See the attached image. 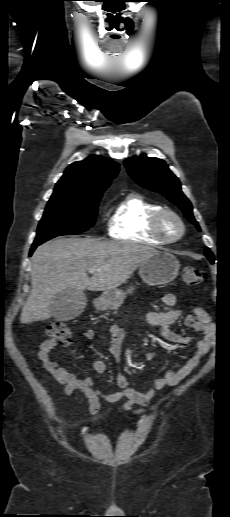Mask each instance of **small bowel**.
<instances>
[{"mask_svg":"<svg viewBox=\"0 0 230 517\" xmlns=\"http://www.w3.org/2000/svg\"><path fill=\"white\" fill-rule=\"evenodd\" d=\"M161 302L167 306L168 309L162 312L150 313L147 319L148 325L157 329L160 336L170 343L178 345L191 343L194 339L193 336L182 335L170 328V325L179 320L182 316V310L175 307V296L173 294H165L162 296ZM189 309L190 313L185 317L184 324L190 328L195 335L201 337L195 343L194 352L181 368L169 370L164 375L155 377L152 380V387L144 391L136 390L120 367L118 368L116 381L121 391L106 393L97 389L91 376H80L71 373L51 358V352L58 346L54 338H47L41 343L37 353V359L42 363L44 369L63 386L65 395L69 396L75 390H79L84 394L91 415L96 416L100 412L101 400L108 403H116L121 399H126L123 410L140 414L143 412V409L133 410L135 405L141 407L148 406L153 400L156 391L180 384L200 365L202 360L210 353L215 345L216 326L211 322L208 313L203 308L194 304H191ZM108 335L110 342L107 350L116 359L119 365L125 329L118 325H112L108 329ZM94 336L95 334L92 329H85L82 334V339L89 341L92 340ZM156 357L157 354L153 351L146 354L148 360H154ZM91 370L96 374H103L107 370V365L104 361L96 360L92 363Z\"/></svg>","mask_w":230,"mask_h":517,"instance_id":"obj_1","label":"small bowel"}]
</instances>
